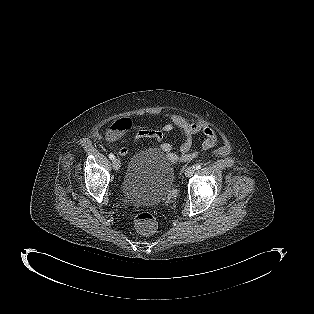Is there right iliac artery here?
Here are the masks:
<instances>
[{"label":"right iliac artery","instance_id":"obj_1","mask_svg":"<svg viewBox=\"0 0 314 314\" xmlns=\"http://www.w3.org/2000/svg\"><path fill=\"white\" fill-rule=\"evenodd\" d=\"M109 158L111 159V160H113V159H115V156H114V154H109Z\"/></svg>","mask_w":314,"mask_h":314}]
</instances>
